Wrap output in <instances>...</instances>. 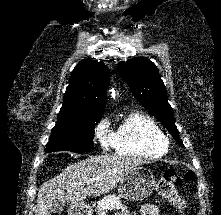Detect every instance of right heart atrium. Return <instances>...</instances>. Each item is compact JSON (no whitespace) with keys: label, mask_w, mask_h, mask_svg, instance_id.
I'll return each mask as SVG.
<instances>
[{"label":"right heart atrium","mask_w":221,"mask_h":215,"mask_svg":"<svg viewBox=\"0 0 221 215\" xmlns=\"http://www.w3.org/2000/svg\"><path fill=\"white\" fill-rule=\"evenodd\" d=\"M95 136L102 148L108 149L113 146L114 133L110 126V120L108 117H104L97 124L95 129Z\"/></svg>","instance_id":"right-heart-atrium-1"}]
</instances>
